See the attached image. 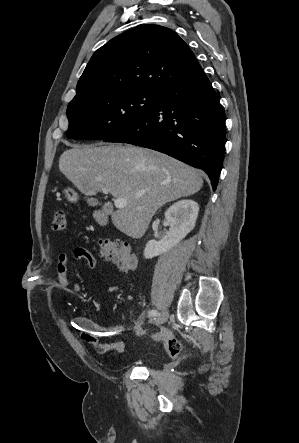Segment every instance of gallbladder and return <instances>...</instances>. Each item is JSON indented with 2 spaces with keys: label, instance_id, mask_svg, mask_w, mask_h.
I'll list each match as a JSON object with an SVG mask.
<instances>
[{
  "label": "gallbladder",
  "instance_id": "1",
  "mask_svg": "<svg viewBox=\"0 0 299 443\" xmlns=\"http://www.w3.org/2000/svg\"><path fill=\"white\" fill-rule=\"evenodd\" d=\"M87 202L91 206H96L98 204V201L96 199H93V198L88 199Z\"/></svg>",
  "mask_w": 299,
  "mask_h": 443
}]
</instances>
